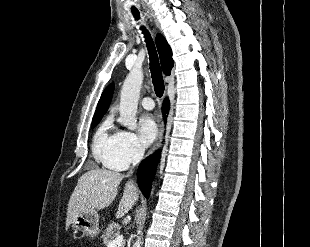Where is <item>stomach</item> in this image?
<instances>
[{"label": "stomach", "mask_w": 310, "mask_h": 247, "mask_svg": "<svg viewBox=\"0 0 310 247\" xmlns=\"http://www.w3.org/2000/svg\"><path fill=\"white\" fill-rule=\"evenodd\" d=\"M74 230L83 233V237H95L99 233V215L96 211L79 214L71 222Z\"/></svg>", "instance_id": "0dacf381"}]
</instances>
